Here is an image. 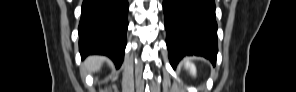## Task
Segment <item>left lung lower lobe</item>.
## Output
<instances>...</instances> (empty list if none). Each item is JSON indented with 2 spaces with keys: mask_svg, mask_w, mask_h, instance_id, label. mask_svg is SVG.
I'll use <instances>...</instances> for the list:
<instances>
[{
  "mask_svg": "<svg viewBox=\"0 0 296 92\" xmlns=\"http://www.w3.org/2000/svg\"><path fill=\"white\" fill-rule=\"evenodd\" d=\"M166 43L171 65L185 55L217 56L214 0H163Z\"/></svg>",
  "mask_w": 296,
  "mask_h": 92,
  "instance_id": "obj_1",
  "label": "left lung lower lobe"
}]
</instances>
